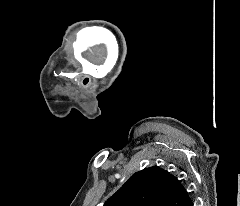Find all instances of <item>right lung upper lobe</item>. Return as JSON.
<instances>
[{"label": "right lung upper lobe", "mask_w": 240, "mask_h": 206, "mask_svg": "<svg viewBox=\"0 0 240 206\" xmlns=\"http://www.w3.org/2000/svg\"><path fill=\"white\" fill-rule=\"evenodd\" d=\"M190 202L175 176L153 166L130 177L104 206H187Z\"/></svg>", "instance_id": "right-lung-upper-lobe-1"}]
</instances>
